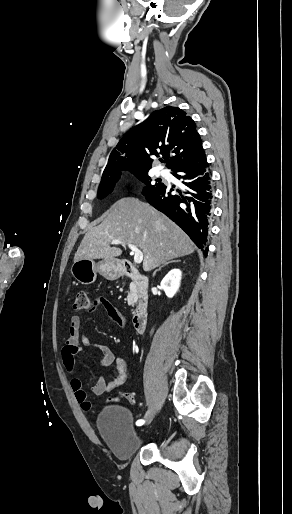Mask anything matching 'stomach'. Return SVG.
Masks as SVG:
<instances>
[{
	"label": "stomach",
	"instance_id": "obj_1",
	"mask_svg": "<svg viewBox=\"0 0 292 514\" xmlns=\"http://www.w3.org/2000/svg\"><path fill=\"white\" fill-rule=\"evenodd\" d=\"M71 274L80 284H93L97 274H101L106 280H118L124 274L121 260L117 258H102L101 262L94 260H77L72 264Z\"/></svg>",
	"mask_w": 292,
	"mask_h": 514
}]
</instances>
